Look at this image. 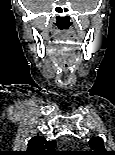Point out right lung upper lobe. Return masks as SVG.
Returning <instances> with one entry per match:
<instances>
[{
    "mask_svg": "<svg viewBox=\"0 0 115 155\" xmlns=\"http://www.w3.org/2000/svg\"><path fill=\"white\" fill-rule=\"evenodd\" d=\"M55 147L54 140L47 141L44 137L35 136L28 141V148L24 155H58Z\"/></svg>",
    "mask_w": 115,
    "mask_h": 155,
    "instance_id": "obj_1",
    "label": "right lung upper lobe"
}]
</instances>
